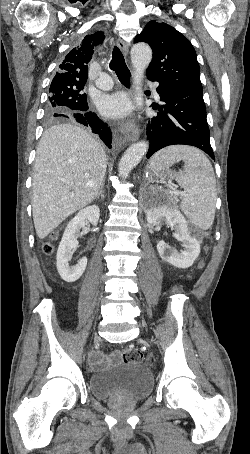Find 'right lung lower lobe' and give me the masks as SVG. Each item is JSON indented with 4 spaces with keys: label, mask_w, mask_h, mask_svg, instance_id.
I'll list each match as a JSON object with an SVG mask.
<instances>
[{
    "label": "right lung lower lobe",
    "mask_w": 250,
    "mask_h": 454,
    "mask_svg": "<svg viewBox=\"0 0 250 454\" xmlns=\"http://www.w3.org/2000/svg\"><path fill=\"white\" fill-rule=\"evenodd\" d=\"M88 106L71 114H62L63 118H74L78 123L89 126L93 133L99 134L103 142L111 148L112 133L107 124L102 122L95 113L88 112Z\"/></svg>",
    "instance_id": "98d812e1"
}]
</instances>
